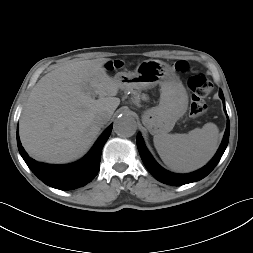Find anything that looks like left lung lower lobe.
Segmentation results:
<instances>
[{
	"mask_svg": "<svg viewBox=\"0 0 253 253\" xmlns=\"http://www.w3.org/2000/svg\"><path fill=\"white\" fill-rule=\"evenodd\" d=\"M219 96L223 101L224 111L226 112L225 101H224L222 90L219 91ZM229 132H230V123H229V118L227 116L226 131H225L224 138L222 140V143H221L217 153L215 154V156L212 158V160L207 165H205L201 169H199L195 172L189 173V174H175V173L169 172V171L165 170L164 168H162L154 160V158L152 157L150 152L147 150L140 133L137 134L136 142H137V147H138L141 159H142L145 167L149 170V172L158 181H160L162 183H165L168 185H173V186H180V185H184L187 183H191V182H195V181H199V180L203 179L215 168V166L220 161V159L227 147L228 140H229Z\"/></svg>",
	"mask_w": 253,
	"mask_h": 253,
	"instance_id": "0a47b994",
	"label": "left lung lower lobe"
}]
</instances>
